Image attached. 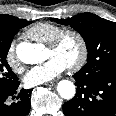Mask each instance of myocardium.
Wrapping results in <instances>:
<instances>
[{"instance_id":"obj_1","label":"myocardium","mask_w":116,"mask_h":116,"mask_svg":"<svg viewBox=\"0 0 116 116\" xmlns=\"http://www.w3.org/2000/svg\"><path fill=\"white\" fill-rule=\"evenodd\" d=\"M70 36L74 37L78 41L80 48V53L78 58L73 63L68 65V68L70 70L75 71L85 65L89 54V47L87 40L81 32L75 29H64L49 43L48 46L52 50H57L58 48H60L64 40Z\"/></svg>"}]
</instances>
